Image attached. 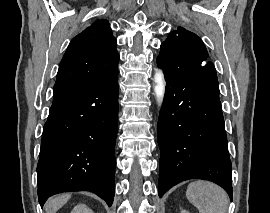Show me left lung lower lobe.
Wrapping results in <instances>:
<instances>
[{
    "label": "left lung lower lobe",
    "mask_w": 270,
    "mask_h": 213,
    "mask_svg": "<svg viewBox=\"0 0 270 213\" xmlns=\"http://www.w3.org/2000/svg\"><path fill=\"white\" fill-rule=\"evenodd\" d=\"M158 121L159 196L175 184L203 179L223 187L232 199L231 161L219 87L191 75L165 76Z\"/></svg>",
    "instance_id": "0a47b994"
}]
</instances>
